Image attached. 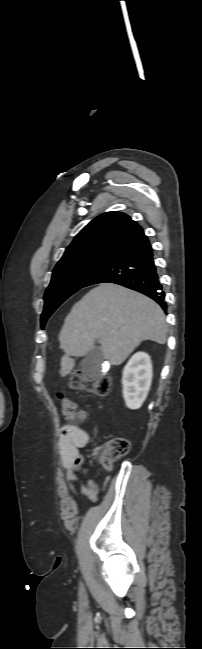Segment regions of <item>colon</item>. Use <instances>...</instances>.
<instances>
[{"label": "colon", "instance_id": "5ec220e1", "mask_svg": "<svg viewBox=\"0 0 202 649\" xmlns=\"http://www.w3.org/2000/svg\"><path fill=\"white\" fill-rule=\"evenodd\" d=\"M111 380L108 376L92 377L74 372L70 376L68 386L70 389L83 390L99 396L109 393ZM62 413L66 419L82 421L85 418L83 412L77 410L76 404L64 394L59 393ZM129 441L122 437H112L105 440L93 450V457L106 470H111L113 464L124 457L129 451Z\"/></svg>", "mask_w": 202, "mask_h": 649}]
</instances>
